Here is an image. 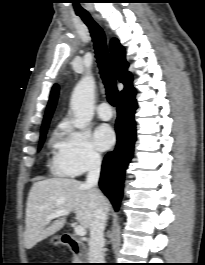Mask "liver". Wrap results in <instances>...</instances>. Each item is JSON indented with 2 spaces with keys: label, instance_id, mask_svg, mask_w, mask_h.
Returning <instances> with one entry per match:
<instances>
[{
  "label": "liver",
  "instance_id": "liver-1",
  "mask_svg": "<svg viewBox=\"0 0 205 265\" xmlns=\"http://www.w3.org/2000/svg\"><path fill=\"white\" fill-rule=\"evenodd\" d=\"M99 207L108 211L106 198L97 189L87 187L80 181L50 178L35 182L30 189L26 204L25 248L31 249L64 226L66 223L64 216L50 224L47 216L51 213L58 210L72 211L76 215L77 222L88 229L94 218V211Z\"/></svg>",
  "mask_w": 205,
  "mask_h": 265
}]
</instances>
